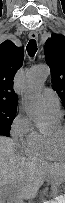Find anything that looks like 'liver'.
Segmentation results:
<instances>
[{"instance_id":"obj_1","label":"liver","mask_w":65,"mask_h":203,"mask_svg":"<svg viewBox=\"0 0 65 203\" xmlns=\"http://www.w3.org/2000/svg\"><path fill=\"white\" fill-rule=\"evenodd\" d=\"M62 180L64 165L21 156L15 152L10 138L0 137L1 199L16 196L19 200L33 198L44 180Z\"/></svg>"}]
</instances>
